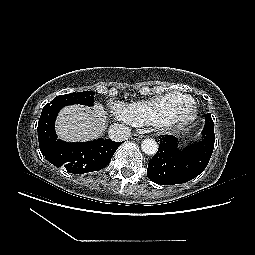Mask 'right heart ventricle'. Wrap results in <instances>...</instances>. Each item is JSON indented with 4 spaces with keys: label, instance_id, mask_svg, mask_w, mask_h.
<instances>
[{
    "label": "right heart ventricle",
    "instance_id": "1",
    "mask_svg": "<svg viewBox=\"0 0 255 255\" xmlns=\"http://www.w3.org/2000/svg\"><path fill=\"white\" fill-rule=\"evenodd\" d=\"M193 99L181 92H168L155 98L123 107L122 119L134 126L153 124L172 103H188Z\"/></svg>",
    "mask_w": 255,
    "mask_h": 255
}]
</instances>
